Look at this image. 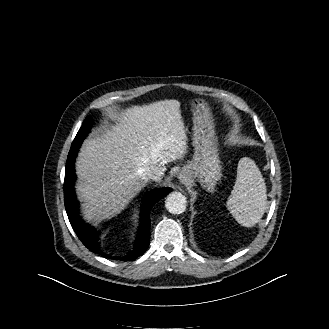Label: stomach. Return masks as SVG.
<instances>
[{"label": "stomach", "instance_id": "stomach-1", "mask_svg": "<svg viewBox=\"0 0 329 329\" xmlns=\"http://www.w3.org/2000/svg\"><path fill=\"white\" fill-rule=\"evenodd\" d=\"M191 110L194 155L181 174L184 178L195 179L202 188L212 192L222 176L213 116L207 103L201 99L192 101Z\"/></svg>", "mask_w": 329, "mask_h": 329}]
</instances>
